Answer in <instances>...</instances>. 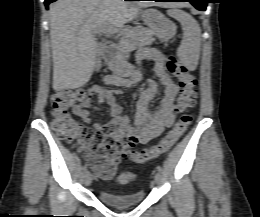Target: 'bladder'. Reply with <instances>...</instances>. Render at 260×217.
Masks as SVG:
<instances>
[{"instance_id": "obj_1", "label": "bladder", "mask_w": 260, "mask_h": 217, "mask_svg": "<svg viewBox=\"0 0 260 217\" xmlns=\"http://www.w3.org/2000/svg\"><path fill=\"white\" fill-rule=\"evenodd\" d=\"M134 175L130 172H121L117 178V182L121 185H126L134 180ZM99 199L113 207H127L140 204L145 199V192L142 190L134 191L127 194H117L111 191L101 189L98 191Z\"/></svg>"}]
</instances>
